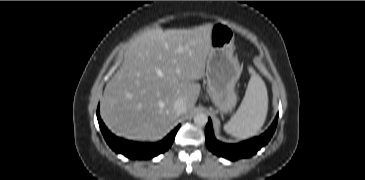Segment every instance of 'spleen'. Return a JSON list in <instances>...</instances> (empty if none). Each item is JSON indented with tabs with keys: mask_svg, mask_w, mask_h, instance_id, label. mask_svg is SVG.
Here are the masks:
<instances>
[{
	"mask_svg": "<svg viewBox=\"0 0 365 180\" xmlns=\"http://www.w3.org/2000/svg\"><path fill=\"white\" fill-rule=\"evenodd\" d=\"M251 78L237 112L224 125V130L237 138H248L259 132L268 111L267 88L262 78L249 67Z\"/></svg>",
	"mask_w": 365,
	"mask_h": 180,
	"instance_id": "spleen-1",
	"label": "spleen"
}]
</instances>
